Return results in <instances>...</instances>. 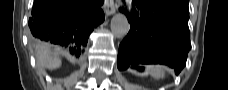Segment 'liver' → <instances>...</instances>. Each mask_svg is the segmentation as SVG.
<instances>
[{"label":"liver","mask_w":228,"mask_h":90,"mask_svg":"<svg viewBox=\"0 0 228 90\" xmlns=\"http://www.w3.org/2000/svg\"><path fill=\"white\" fill-rule=\"evenodd\" d=\"M37 60L39 64L46 66L49 69H55L61 65V60L59 58H50V50L45 45L37 46Z\"/></svg>","instance_id":"1"}]
</instances>
